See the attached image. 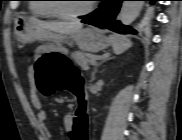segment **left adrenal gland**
Masks as SVG:
<instances>
[{"label":"left adrenal gland","instance_id":"left-adrenal-gland-1","mask_svg":"<svg viewBox=\"0 0 182 140\" xmlns=\"http://www.w3.org/2000/svg\"><path fill=\"white\" fill-rule=\"evenodd\" d=\"M110 59H112V58L109 57V56H106L105 58L102 59V61H101L98 65L95 66V68H94V70H93V72H92V81L95 80V74H96V72L98 71V67H99L102 63H104L105 61H108V60H110Z\"/></svg>","mask_w":182,"mask_h":140}]
</instances>
